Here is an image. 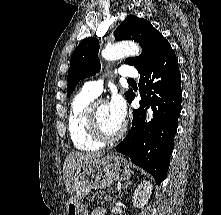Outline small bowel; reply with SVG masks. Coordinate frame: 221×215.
Returning a JSON list of instances; mask_svg holds the SVG:
<instances>
[{"label": "small bowel", "instance_id": "c3829d8e", "mask_svg": "<svg viewBox=\"0 0 221 215\" xmlns=\"http://www.w3.org/2000/svg\"><path fill=\"white\" fill-rule=\"evenodd\" d=\"M93 215H103V212L101 210H97L93 213Z\"/></svg>", "mask_w": 221, "mask_h": 215}]
</instances>
